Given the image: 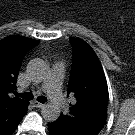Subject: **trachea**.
Returning <instances> with one entry per match:
<instances>
[{
    "label": "trachea",
    "instance_id": "trachea-1",
    "mask_svg": "<svg viewBox=\"0 0 135 135\" xmlns=\"http://www.w3.org/2000/svg\"><path fill=\"white\" fill-rule=\"evenodd\" d=\"M16 96H19L25 100H32L33 99V94L30 93V92H25V93H21V94H18L16 93ZM37 100L40 102V103H45L47 101V98L44 97V96H39L37 98Z\"/></svg>",
    "mask_w": 135,
    "mask_h": 135
}]
</instances>
